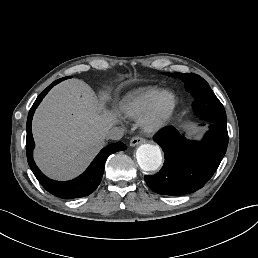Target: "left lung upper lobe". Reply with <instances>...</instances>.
<instances>
[{
    "label": "left lung upper lobe",
    "mask_w": 258,
    "mask_h": 258,
    "mask_svg": "<svg viewBox=\"0 0 258 258\" xmlns=\"http://www.w3.org/2000/svg\"><path fill=\"white\" fill-rule=\"evenodd\" d=\"M165 75L171 76V77H178L185 83V89L187 92H189L194 98L200 97V96H208V95H214L213 91L209 87L208 83L199 75H196L194 73H164ZM193 110L195 114L200 117V111L195 107L194 104H192ZM222 109V115H219V119L222 122H226L225 118V110L223 105L221 106ZM213 116V115H210Z\"/></svg>",
    "instance_id": "obj_1"
}]
</instances>
